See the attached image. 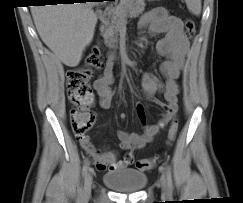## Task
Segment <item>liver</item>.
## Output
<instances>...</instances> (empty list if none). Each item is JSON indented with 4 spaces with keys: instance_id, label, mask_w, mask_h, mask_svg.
Wrapping results in <instances>:
<instances>
[{
    "instance_id": "1",
    "label": "liver",
    "mask_w": 243,
    "mask_h": 203,
    "mask_svg": "<svg viewBox=\"0 0 243 203\" xmlns=\"http://www.w3.org/2000/svg\"><path fill=\"white\" fill-rule=\"evenodd\" d=\"M93 4L33 6L32 17L42 41L69 67H76L92 42L97 16Z\"/></svg>"
}]
</instances>
